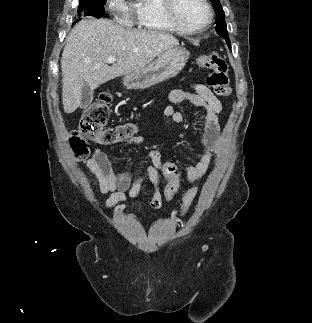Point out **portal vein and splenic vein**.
Masks as SVG:
<instances>
[{"label": "portal vein and splenic vein", "mask_w": 312, "mask_h": 323, "mask_svg": "<svg viewBox=\"0 0 312 323\" xmlns=\"http://www.w3.org/2000/svg\"><path fill=\"white\" fill-rule=\"evenodd\" d=\"M107 62L108 64H115L116 56H109V58H107Z\"/></svg>", "instance_id": "1"}]
</instances>
